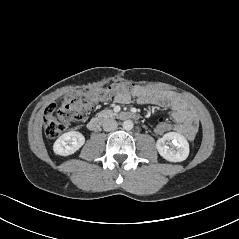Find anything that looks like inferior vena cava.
<instances>
[{
	"mask_svg": "<svg viewBox=\"0 0 239 239\" xmlns=\"http://www.w3.org/2000/svg\"><path fill=\"white\" fill-rule=\"evenodd\" d=\"M118 124L117 121L114 119H106L103 122V129L104 131H114L117 128Z\"/></svg>",
	"mask_w": 239,
	"mask_h": 239,
	"instance_id": "602c4592",
	"label": "inferior vena cava"
}]
</instances>
